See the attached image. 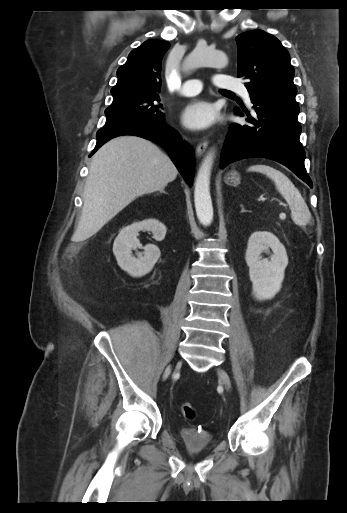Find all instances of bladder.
Returning <instances> with one entry per match:
<instances>
[{"mask_svg":"<svg viewBox=\"0 0 347 513\" xmlns=\"http://www.w3.org/2000/svg\"><path fill=\"white\" fill-rule=\"evenodd\" d=\"M184 448L192 454H204L211 451L216 441L210 432L206 430H198L193 427H183L179 431Z\"/></svg>","mask_w":347,"mask_h":513,"instance_id":"obj_1","label":"bladder"}]
</instances>
